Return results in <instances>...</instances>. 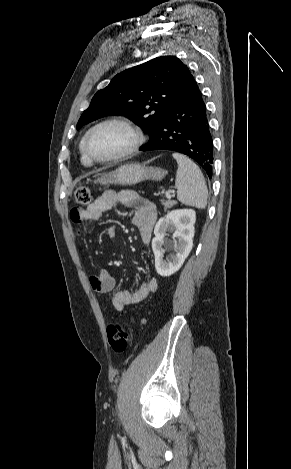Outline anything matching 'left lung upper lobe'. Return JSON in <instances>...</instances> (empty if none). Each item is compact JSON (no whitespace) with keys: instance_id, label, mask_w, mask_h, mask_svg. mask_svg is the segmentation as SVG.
<instances>
[{"instance_id":"1","label":"left lung upper lobe","mask_w":291,"mask_h":469,"mask_svg":"<svg viewBox=\"0 0 291 469\" xmlns=\"http://www.w3.org/2000/svg\"><path fill=\"white\" fill-rule=\"evenodd\" d=\"M192 75L175 56H162L117 74L99 90L81 115L77 129L106 115L127 117L152 134Z\"/></svg>"}]
</instances>
